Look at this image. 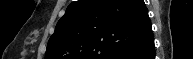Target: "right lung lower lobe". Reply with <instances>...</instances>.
<instances>
[{"instance_id":"98d812e1","label":"right lung lower lobe","mask_w":193,"mask_h":59,"mask_svg":"<svg viewBox=\"0 0 193 59\" xmlns=\"http://www.w3.org/2000/svg\"><path fill=\"white\" fill-rule=\"evenodd\" d=\"M117 59H155L153 34L149 35L141 44L124 53Z\"/></svg>"}]
</instances>
